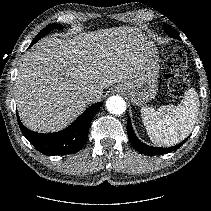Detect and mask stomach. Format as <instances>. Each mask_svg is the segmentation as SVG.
<instances>
[{"mask_svg":"<svg viewBox=\"0 0 211 211\" xmlns=\"http://www.w3.org/2000/svg\"><path fill=\"white\" fill-rule=\"evenodd\" d=\"M148 44L143 64L137 75L118 85L125 90L130 101L136 106L151 101L156 96L158 89L159 53L153 42H148Z\"/></svg>","mask_w":211,"mask_h":211,"instance_id":"stomach-1","label":"stomach"}]
</instances>
